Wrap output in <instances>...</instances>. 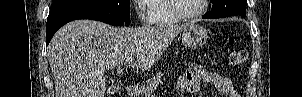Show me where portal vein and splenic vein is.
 I'll return each mask as SVG.
<instances>
[{"mask_svg":"<svg viewBox=\"0 0 302 97\" xmlns=\"http://www.w3.org/2000/svg\"><path fill=\"white\" fill-rule=\"evenodd\" d=\"M131 63H133V57H130L124 61V65H129Z\"/></svg>","mask_w":302,"mask_h":97,"instance_id":"obj_1","label":"portal vein and splenic vein"}]
</instances>
